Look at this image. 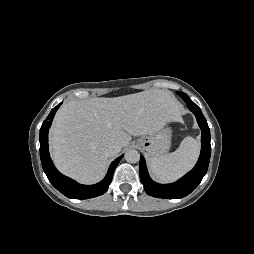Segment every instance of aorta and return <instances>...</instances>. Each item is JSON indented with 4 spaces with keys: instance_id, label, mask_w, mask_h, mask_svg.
<instances>
[{
    "instance_id": "aorta-1",
    "label": "aorta",
    "mask_w": 254,
    "mask_h": 254,
    "mask_svg": "<svg viewBox=\"0 0 254 254\" xmlns=\"http://www.w3.org/2000/svg\"><path fill=\"white\" fill-rule=\"evenodd\" d=\"M124 157L128 163H137L140 160V154L135 149L127 150Z\"/></svg>"
}]
</instances>
